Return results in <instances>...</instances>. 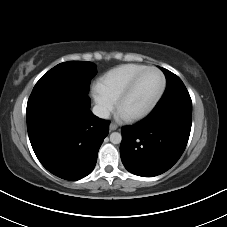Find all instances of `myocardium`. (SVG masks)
Here are the masks:
<instances>
[{
	"instance_id": "myocardium-1",
	"label": "myocardium",
	"mask_w": 227,
	"mask_h": 227,
	"mask_svg": "<svg viewBox=\"0 0 227 227\" xmlns=\"http://www.w3.org/2000/svg\"><path fill=\"white\" fill-rule=\"evenodd\" d=\"M149 70H155L160 73V75L162 77L161 89L158 92V94L156 95V97L143 109H141L137 112H133V113H126L125 118L130 121H136V120H140V119L146 117L156 107V105L159 103V101L161 100V98L163 97V95L166 91L167 78H166V75L164 74V72L159 67L146 66L133 77V79L130 81V83L127 85V87L123 90V92L118 97V100H117L118 109L120 111H123V105H124L125 101L132 94V92L136 88L141 77Z\"/></svg>"
}]
</instances>
